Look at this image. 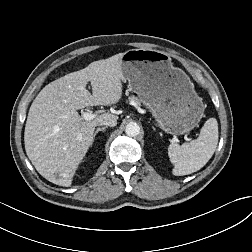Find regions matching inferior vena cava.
I'll return each mask as SVG.
<instances>
[{"mask_svg": "<svg viewBox=\"0 0 252 252\" xmlns=\"http://www.w3.org/2000/svg\"><path fill=\"white\" fill-rule=\"evenodd\" d=\"M116 124H117L116 120H108V121H102L98 125H100V126L105 125V126L114 127V126H116Z\"/></svg>", "mask_w": 252, "mask_h": 252, "instance_id": "inferior-vena-cava-1", "label": "inferior vena cava"}]
</instances>
